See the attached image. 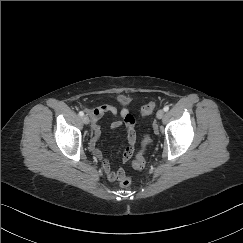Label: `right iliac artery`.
<instances>
[{
    "mask_svg": "<svg viewBox=\"0 0 243 243\" xmlns=\"http://www.w3.org/2000/svg\"><path fill=\"white\" fill-rule=\"evenodd\" d=\"M79 115H80L81 117H83V116H84V112H83V111H80V112H79Z\"/></svg>",
    "mask_w": 243,
    "mask_h": 243,
    "instance_id": "1",
    "label": "right iliac artery"
}]
</instances>
